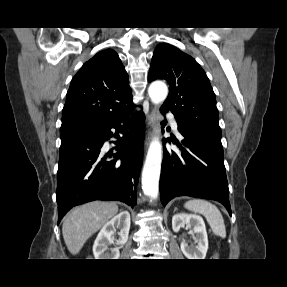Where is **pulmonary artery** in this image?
<instances>
[{
	"mask_svg": "<svg viewBox=\"0 0 287 287\" xmlns=\"http://www.w3.org/2000/svg\"><path fill=\"white\" fill-rule=\"evenodd\" d=\"M171 126H172L173 130L178 133V125H177L176 120L173 118L171 120Z\"/></svg>",
	"mask_w": 287,
	"mask_h": 287,
	"instance_id": "obj_1",
	"label": "pulmonary artery"
}]
</instances>
